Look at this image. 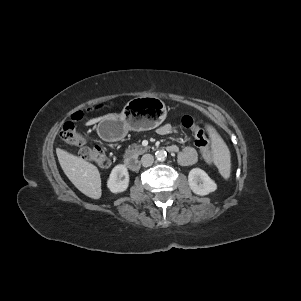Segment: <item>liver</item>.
Returning <instances> with one entry per match:
<instances>
[{"label":"liver","mask_w":301,"mask_h":301,"mask_svg":"<svg viewBox=\"0 0 301 301\" xmlns=\"http://www.w3.org/2000/svg\"><path fill=\"white\" fill-rule=\"evenodd\" d=\"M117 115L119 114H107L93 118L86 125H93ZM56 153L62 170L74 186L86 196L99 199L102 191L100 173L97 167L63 149L57 148Z\"/></svg>","instance_id":"obj_1"}]
</instances>
